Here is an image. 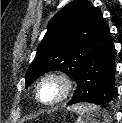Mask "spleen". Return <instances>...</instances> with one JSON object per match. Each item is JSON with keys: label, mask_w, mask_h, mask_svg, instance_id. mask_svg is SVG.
<instances>
[{"label": "spleen", "mask_w": 122, "mask_h": 123, "mask_svg": "<svg viewBox=\"0 0 122 123\" xmlns=\"http://www.w3.org/2000/svg\"><path fill=\"white\" fill-rule=\"evenodd\" d=\"M70 110L75 111L79 117L76 123H99L97 118L103 117L104 123H108V117L104 111L95 104H76Z\"/></svg>", "instance_id": "obj_1"}]
</instances>
